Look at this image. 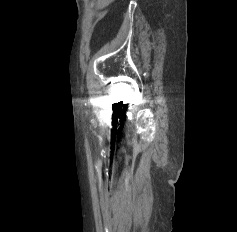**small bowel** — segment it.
I'll return each instance as SVG.
<instances>
[{
    "instance_id": "small-bowel-1",
    "label": "small bowel",
    "mask_w": 237,
    "mask_h": 232,
    "mask_svg": "<svg viewBox=\"0 0 237 232\" xmlns=\"http://www.w3.org/2000/svg\"><path fill=\"white\" fill-rule=\"evenodd\" d=\"M113 0H97L98 8L102 9L108 6Z\"/></svg>"
}]
</instances>
